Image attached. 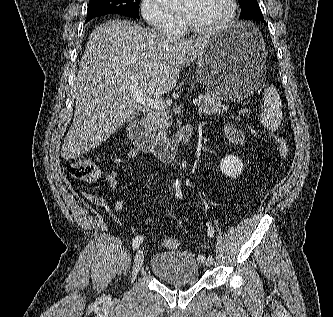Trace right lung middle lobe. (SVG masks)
Wrapping results in <instances>:
<instances>
[{
  "mask_svg": "<svg viewBox=\"0 0 333 317\" xmlns=\"http://www.w3.org/2000/svg\"><path fill=\"white\" fill-rule=\"evenodd\" d=\"M139 4L140 0H90L86 21L107 13L138 18Z\"/></svg>",
  "mask_w": 333,
  "mask_h": 317,
  "instance_id": "obj_1",
  "label": "right lung middle lobe"
}]
</instances>
